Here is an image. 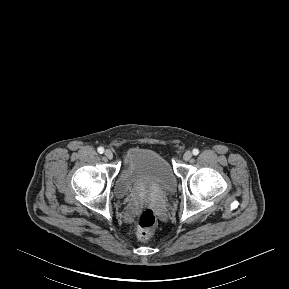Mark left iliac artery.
<instances>
[{"label": "left iliac artery", "mask_w": 289, "mask_h": 289, "mask_svg": "<svg viewBox=\"0 0 289 289\" xmlns=\"http://www.w3.org/2000/svg\"><path fill=\"white\" fill-rule=\"evenodd\" d=\"M193 155H198L199 154V150L197 148L193 149L192 151Z\"/></svg>", "instance_id": "left-iliac-artery-1"}]
</instances>
